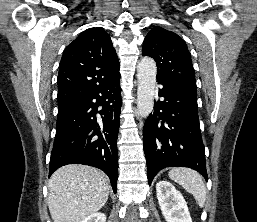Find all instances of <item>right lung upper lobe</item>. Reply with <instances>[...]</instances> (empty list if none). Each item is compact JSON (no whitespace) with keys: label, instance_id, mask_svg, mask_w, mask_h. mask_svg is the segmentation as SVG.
Segmentation results:
<instances>
[{"label":"right lung upper lobe","instance_id":"cb5924a9","mask_svg":"<svg viewBox=\"0 0 257 222\" xmlns=\"http://www.w3.org/2000/svg\"><path fill=\"white\" fill-rule=\"evenodd\" d=\"M120 69L110 36L102 28L83 31L63 52L59 65L58 107H65L97 90Z\"/></svg>","mask_w":257,"mask_h":222}]
</instances>
